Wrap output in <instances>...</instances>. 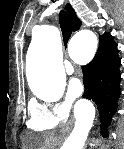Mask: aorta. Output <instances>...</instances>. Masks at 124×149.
<instances>
[{
    "instance_id": "1",
    "label": "aorta",
    "mask_w": 124,
    "mask_h": 149,
    "mask_svg": "<svg viewBox=\"0 0 124 149\" xmlns=\"http://www.w3.org/2000/svg\"><path fill=\"white\" fill-rule=\"evenodd\" d=\"M97 36L90 30L76 33L70 43L71 50L93 53L97 47ZM37 61L29 75V86L33 94L44 100L59 99L65 89L66 76L61 61V42L58 30L44 26L38 40L33 44ZM75 126L62 149H83L95 118V108L88 100H80L75 108Z\"/></svg>"
}]
</instances>
